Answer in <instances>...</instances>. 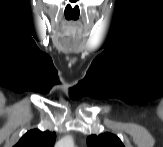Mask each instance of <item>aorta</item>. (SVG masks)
<instances>
[{
	"label": "aorta",
	"mask_w": 163,
	"mask_h": 147,
	"mask_svg": "<svg viewBox=\"0 0 163 147\" xmlns=\"http://www.w3.org/2000/svg\"><path fill=\"white\" fill-rule=\"evenodd\" d=\"M57 147H73L74 146V141L73 138L70 136H66L62 138L57 144Z\"/></svg>",
	"instance_id": "obj_1"
}]
</instances>
